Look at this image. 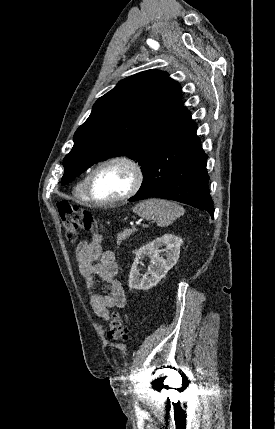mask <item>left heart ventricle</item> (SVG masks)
<instances>
[{"label": "left heart ventricle", "mask_w": 275, "mask_h": 429, "mask_svg": "<svg viewBox=\"0 0 275 429\" xmlns=\"http://www.w3.org/2000/svg\"><path fill=\"white\" fill-rule=\"evenodd\" d=\"M132 182L131 171L122 164L100 169L92 181V193L99 200H108L124 194Z\"/></svg>", "instance_id": "left-heart-ventricle-1"}]
</instances>
